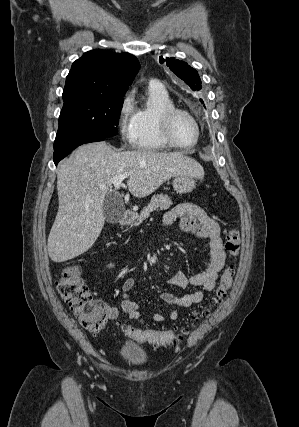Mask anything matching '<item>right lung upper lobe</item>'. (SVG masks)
Here are the masks:
<instances>
[{
    "mask_svg": "<svg viewBox=\"0 0 299 427\" xmlns=\"http://www.w3.org/2000/svg\"><path fill=\"white\" fill-rule=\"evenodd\" d=\"M139 68L137 59L128 53L88 51L73 63L63 100L79 95L123 96Z\"/></svg>",
    "mask_w": 299,
    "mask_h": 427,
    "instance_id": "1",
    "label": "right lung upper lobe"
}]
</instances>
